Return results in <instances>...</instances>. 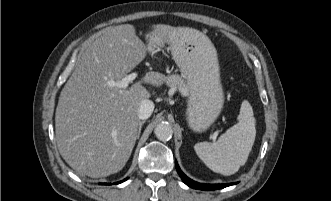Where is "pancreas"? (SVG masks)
<instances>
[{"instance_id": "obj_1", "label": "pancreas", "mask_w": 331, "mask_h": 201, "mask_svg": "<svg viewBox=\"0 0 331 201\" xmlns=\"http://www.w3.org/2000/svg\"><path fill=\"white\" fill-rule=\"evenodd\" d=\"M166 83L170 88L178 89L182 95L184 96L188 95L189 92L188 86L181 76L170 75L167 77Z\"/></svg>"}]
</instances>
